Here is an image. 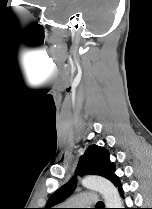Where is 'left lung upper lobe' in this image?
<instances>
[{
    "instance_id": "left-lung-upper-lobe-1",
    "label": "left lung upper lobe",
    "mask_w": 152,
    "mask_h": 209,
    "mask_svg": "<svg viewBox=\"0 0 152 209\" xmlns=\"http://www.w3.org/2000/svg\"><path fill=\"white\" fill-rule=\"evenodd\" d=\"M114 172L115 165L109 160L108 151L104 147L97 145H90L86 149L84 155L80 157L76 169V173L79 175H99L110 180L115 186H119L120 179ZM76 185L77 180L73 177L68 183L52 194L43 209H54L52 208L53 206L64 201L74 192Z\"/></svg>"
}]
</instances>
